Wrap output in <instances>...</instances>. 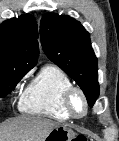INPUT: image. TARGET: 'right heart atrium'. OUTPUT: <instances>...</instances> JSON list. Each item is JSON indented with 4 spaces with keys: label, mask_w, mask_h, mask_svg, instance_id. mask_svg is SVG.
<instances>
[{
    "label": "right heart atrium",
    "mask_w": 119,
    "mask_h": 141,
    "mask_svg": "<svg viewBox=\"0 0 119 141\" xmlns=\"http://www.w3.org/2000/svg\"><path fill=\"white\" fill-rule=\"evenodd\" d=\"M21 87V83H19L17 86H16V91Z\"/></svg>",
    "instance_id": "d8ad5b80"
}]
</instances>
